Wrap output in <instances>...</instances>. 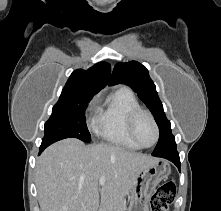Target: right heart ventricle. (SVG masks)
Returning a JSON list of instances; mask_svg holds the SVG:
<instances>
[{"label":"right heart ventricle","mask_w":221,"mask_h":211,"mask_svg":"<svg viewBox=\"0 0 221 211\" xmlns=\"http://www.w3.org/2000/svg\"><path fill=\"white\" fill-rule=\"evenodd\" d=\"M139 107V101L130 88L121 86L114 89L99 109L97 135L108 143L139 150L140 147L130 138L127 129L129 113Z\"/></svg>","instance_id":"1"}]
</instances>
